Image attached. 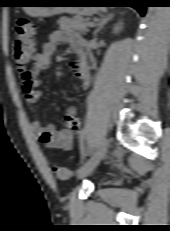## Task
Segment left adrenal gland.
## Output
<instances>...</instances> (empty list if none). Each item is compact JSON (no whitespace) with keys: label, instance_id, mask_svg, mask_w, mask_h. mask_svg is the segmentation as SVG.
<instances>
[{"label":"left adrenal gland","instance_id":"a2214340","mask_svg":"<svg viewBox=\"0 0 170 231\" xmlns=\"http://www.w3.org/2000/svg\"><path fill=\"white\" fill-rule=\"evenodd\" d=\"M113 16H114L113 14H108L107 16H103L101 19H99L97 23V27L93 32V35L95 37L97 36V33L104 27V25H106L109 21L112 20Z\"/></svg>","mask_w":170,"mask_h":231}]
</instances>
